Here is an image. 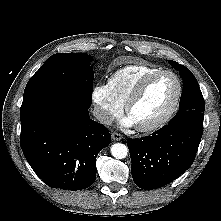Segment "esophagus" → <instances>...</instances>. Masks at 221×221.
<instances>
[{
	"label": "esophagus",
	"mask_w": 221,
	"mask_h": 221,
	"mask_svg": "<svg viewBox=\"0 0 221 221\" xmlns=\"http://www.w3.org/2000/svg\"><path fill=\"white\" fill-rule=\"evenodd\" d=\"M122 138H123V136L121 134L116 133V132L112 133V139L114 141H120Z\"/></svg>",
	"instance_id": "esophagus-1"
}]
</instances>
